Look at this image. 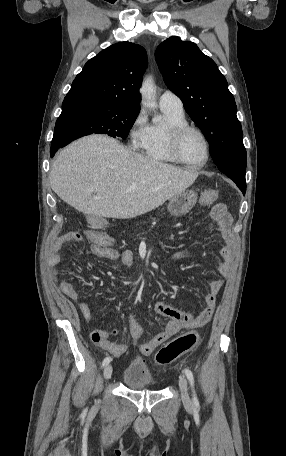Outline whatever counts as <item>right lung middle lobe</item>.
Returning <instances> with one entry per match:
<instances>
[{
    "mask_svg": "<svg viewBox=\"0 0 286 456\" xmlns=\"http://www.w3.org/2000/svg\"><path fill=\"white\" fill-rule=\"evenodd\" d=\"M140 108L122 106L88 98L64 100L62 113L56 121L52 142H69L92 133L108 134L125 139Z\"/></svg>",
    "mask_w": 286,
    "mask_h": 456,
    "instance_id": "obj_1",
    "label": "right lung middle lobe"
}]
</instances>
